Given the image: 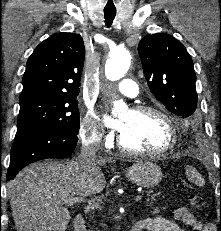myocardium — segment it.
<instances>
[{
	"label": "myocardium",
	"instance_id": "myocardium-1",
	"mask_svg": "<svg viewBox=\"0 0 221 231\" xmlns=\"http://www.w3.org/2000/svg\"><path fill=\"white\" fill-rule=\"evenodd\" d=\"M131 111L137 114L152 113V114H156L162 117L170 128L171 139H170V143L166 147L160 150L145 151V150L133 149V148L126 146L122 140V136L120 133L117 138V145L123 152L131 154V155H138V156L161 157V156L168 154L169 152H171L173 149L176 148L177 143H178V129L174 121V118L167 111L159 107L150 106V105H137V106H134L131 109Z\"/></svg>",
	"mask_w": 221,
	"mask_h": 231
}]
</instances>
